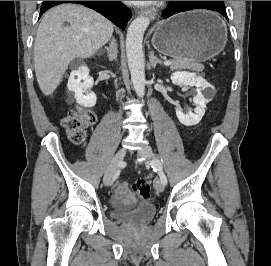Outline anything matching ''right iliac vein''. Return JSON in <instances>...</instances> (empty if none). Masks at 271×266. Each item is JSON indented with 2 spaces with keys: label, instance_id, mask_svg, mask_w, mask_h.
I'll return each instance as SVG.
<instances>
[{
  "label": "right iliac vein",
  "instance_id": "63e3f726",
  "mask_svg": "<svg viewBox=\"0 0 271 266\" xmlns=\"http://www.w3.org/2000/svg\"><path fill=\"white\" fill-rule=\"evenodd\" d=\"M126 154L127 150L125 148H122L115 154V156L111 160L103 179L104 184L106 186L112 184L114 172L117 169V167L121 164Z\"/></svg>",
  "mask_w": 271,
  "mask_h": 266
}]
</instances>
